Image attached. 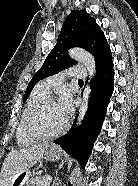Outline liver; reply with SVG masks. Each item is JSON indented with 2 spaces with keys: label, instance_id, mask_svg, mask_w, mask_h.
Segmentation results:
<instances>
[{
  "label": "liver",
  "instance_id": "obj_1",
  "mask_svg": "<svg viewBox=\"0 0 138 186\" xmlns=\"http://www.w3.org/2000/svg\"><path fill=\"white\" fill-rule=\"evenodd\" d=\"M49 144H38L23 149H13L6 156L0 173V186H10L18 172L28 171L43 158Z\"/></svg>",
  "mask_w": 138,
  "mask_h": 186
}]
</instances>
